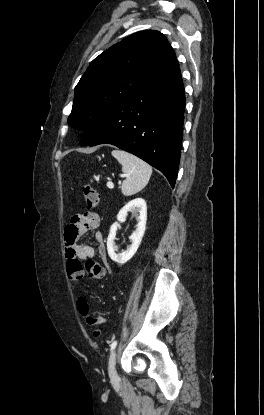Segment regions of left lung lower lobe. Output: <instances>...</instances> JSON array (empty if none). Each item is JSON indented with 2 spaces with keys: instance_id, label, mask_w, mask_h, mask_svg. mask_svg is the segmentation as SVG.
Wrapping results in <instances>:
<instances>
[{
  "instance_id": "0a47b994",
  "label": "left lung lower lobe",
  "mask_w": 264,
  "mask_h": 415,
  "mask_svg": "<svg viewBox=\"0 0 264 415\" xmlns=\"http://www.w3.org/2000/svg\"><path fill=\"white\" fill-rule=\"evenodd\" d=\"M185 91L179 66L123 101L81 145L112 144L160 170L174 188Z\"/></svg>"
}]
</instances>
